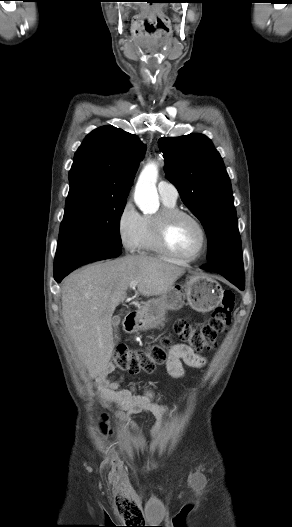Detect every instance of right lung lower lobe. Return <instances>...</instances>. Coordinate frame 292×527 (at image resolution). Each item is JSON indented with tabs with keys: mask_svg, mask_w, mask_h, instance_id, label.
Returning a JSON list of instances; mask_svg holds the SVG:
<instances>
[{
	"mask_svg": "<svg viewBox=\"0 0 292 527\" xmlns=\"http://www.w3.org/2000/svg\"><path fill=\"white\" fill-rule=\"evenodd\" d=\"M121 253L119 247L102 241L58 242L54 261V279L61 282L66 275L84 264L114 258Z\"/></svg>",
	"mask_w": 292,
	"mask_h": 527,
	"instance_id": "1",
	"label": "right lung lower lobe"
}]
</instances>
